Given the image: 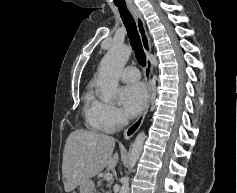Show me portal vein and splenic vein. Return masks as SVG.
<instances>
[{
	"label": "portal vein and splenic vein",
	"mask_w": 237,
	"mask_h": 193,
	"mask_svg": "<svg viewBox=\"0 0 237 193\" xmlns=\"http://www.w3.org/2000/svg\"><path fill=\"white\" fill-rule=\"evenodd\" d=\"M112 178H113V176H112L111 173H106V174L104 175V179H105L106 181H111Z\"/></svg>",
	"instance_id": "18ae733b"
}]
</instances>
